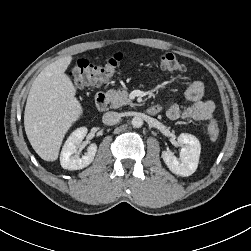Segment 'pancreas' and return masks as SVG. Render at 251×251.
<instances>
[{"mask_svg": "<svg viewBox=\"0 0 251 251\" xmlns=\"http://www.w3.org/2000/svg\"><path fill=\"white\" fill-rule=\"evenodd\" d=\"M106 95L111 102L112 108L114 109L119 108L123 105H134L128 97V92L125 90L120 91L111 89L107 91Z\"/></svg>", "mask_w": 251, "mask_h": 251, "instance_id": "obj_1", "label": "pancreas"}]
</instances>
